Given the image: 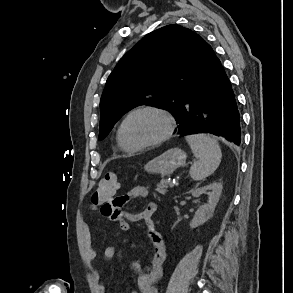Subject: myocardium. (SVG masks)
<instances>
[{
  "label": "myocardium",
  "instance_id": "f54148a6",
  "mask_svg": "<svg viewBox=\"0 0 293 293\" xmlns=\"http://www.w3.org/2000/svg\"><path fill=\"white\" fill-rule=\"evenodd\" d=\"M140 112H152V113L159 115L165 121L166 126H165L163 133L159 137H157L156 139H154L150 142L142 143V144H131L127 140L126 135H125V126H126L127 121L133 115L140 113ZM174 130H175V121H174V118L171 116V114L162 108L152 106V105H144V106H139L137 108H134L123 118V120L120 124V127H119L120 137H121L123 144L125 145L126 148H128L132 151H138V150H142V149H146V148L160 145L161 143L165 142L166 140H168L172 136Z\"/></svg>",
  "mask_w": 293,
  "mask_h": 293
}]
</instances>
